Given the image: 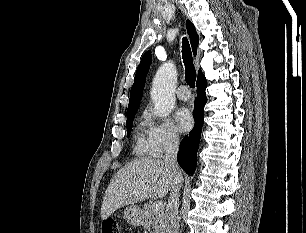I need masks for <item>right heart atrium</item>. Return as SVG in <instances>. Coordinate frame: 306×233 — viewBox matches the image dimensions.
Here are the masks:
<instances>
[{
    "label": "right heart atrium",
    "mask_w": 306,
    "mask_h": 233,
    "mask_svg": "<svg viewBox=\"0 0 306 233\" xmlns=\"http://www.w3.org/2000/svg\"><path fill=\"white\" fill-rule=\"evenodd\" d=\"M149 154L161 157L178 147L180 137L173 123L166 118L150 119L147 128Z\"/></svg>",
    "instance_id": "d8ad5b80"
}]
</instances>
